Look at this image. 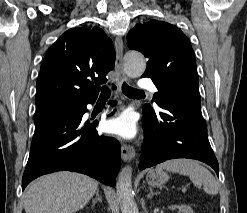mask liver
<instances>
[{"label": "liver", "mask_w": 247, "mask_h": 213, "mask_svg": "<svg viewBox=\"0 0 247 213\" xmlns=\"http://www.w3.org/2000/svg\"><path fill=\"white\" fill-rule=\"evenodd\" d=\"M98 182L75 172H56L32 182L25 190V213H75L93 197Z\"/></svg>", "instance_id": "6515ba94"}]
</instances>
